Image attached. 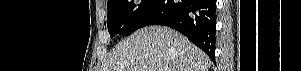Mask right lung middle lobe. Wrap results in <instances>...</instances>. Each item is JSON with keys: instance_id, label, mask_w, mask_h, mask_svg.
I'll use <instances>...</instances> for the list:
<instances>
[{"instance_id": "1", "label": "right lung middle lobe", "mask_w": 301, "mask_h": 71, "mask_svg": "<svg viewBox=\"0 0 301 71\" xmlns=\"http://www.w3.org/2000/svg\"><path fill=\"white\" fill-rule=\"evenodd\" d=\"M157 0H108L107 27L111 37L130 35L140 28Z\"/></svg>"}]
</instances>
